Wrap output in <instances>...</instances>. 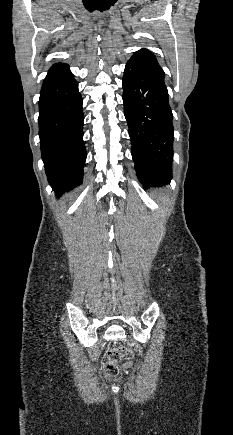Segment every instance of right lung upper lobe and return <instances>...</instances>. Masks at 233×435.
Returning <instances> with one entry per match:
<instances>
[{"label":"right lung upper lobe","instance_id":"right-lung-upper-lobe-1","mask_svg":"<svg viewBox=\"0 0 233 435\" xmlns=\"http://www.w3.org/2000/svg\"><path fill=\"white\" fill-rule=\"evenodd\" d=\"M71 73L69 70V66L64 63L54 64L48 71V75L46 76L43 85L53 82L66 74Z\"/></svg>","mask_w":233,"mask_h":435}]
</instances>
